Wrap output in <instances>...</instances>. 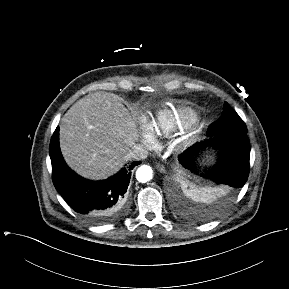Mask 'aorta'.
Masks as SVG:
<instances>
[{"mask_svg":"<svg viewBox=\"0 0 289 289\" xmlns=\"http://www.w3.org/2000/svg\"><path fill=\"white\" fill-rule=\"evenodd\" d=\"M153 177V170L148 165L140 166L136 171V178L141 183L150 181Z\"/></svg>","mask_w":289,"mask_h":289,"instance_id":"1","label":"aorta"}]
</instances>
